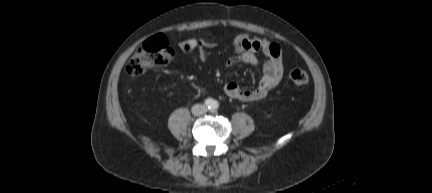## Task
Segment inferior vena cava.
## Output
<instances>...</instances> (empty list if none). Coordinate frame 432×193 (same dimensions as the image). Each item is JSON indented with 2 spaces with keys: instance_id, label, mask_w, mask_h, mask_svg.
<instances>
[{
  "instance_id": "obj_1",
  "label": "inferior vena cava",
  "mask_w": 432,
  "mask_h": 193,
  "mask_svg": "<svg viewBox=\"0 0 432 193\" xmlns=\"http://www.w3.org/2000/svg\"><path fill=\"white\" fill-rule=\"evenodd\" d=\"M206 107L204 106V105H194L193 107H192V112L194 113V114H196V115H198V114H203V113H205L206 112Z\"/></svg>"
}]
</instances>
